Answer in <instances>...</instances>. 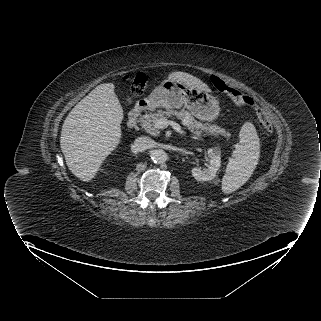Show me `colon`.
Segmentation results:
<instances>
[{
	"label": "colon",
	"instance_id": "5ec220e1",
	"mask_svg": "<svg viewBox=\"0 0 321 321\" xmlns=\"http://www.w3.org/2000/svg\"><path fill=\"white\" fill-rule=\"evenodd\" d=\"M130 82L132 92L140 93L145 87L146 79L142 74H138L136 76H133L130 79ZM211 82L219 92L224 93L226 96H228L234 104L255 110L256 116L265 132L272 133L273 126L268 114L262 108L257 106L252 99L243 95L241 92L231 87L224 80L217 76H212Z\"/></svg>",
	"mask_w": 321,
	"mask_h": 321
}]
</instances>
